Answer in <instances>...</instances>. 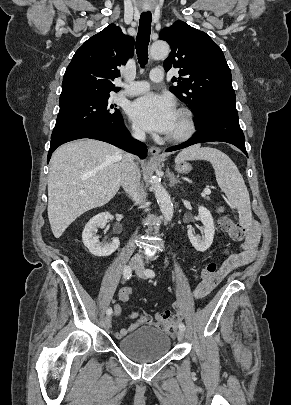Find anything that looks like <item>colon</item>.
<instances>
[{
  "instance_id": "colon-1",
  "label": "colon",
  "mask_w": 291,
  "mask_h": 405,
  "mask_svg": "<svg viewBox=\"0 0 291 405\" xmlns=\"http://www.w3.org/2000/svg\"><path fill=\"white\" fill-rule=\"evenodd\" d=\"M221 214L220 224L222 229L227 233V235L235 241H243L246 238V229L241 224L235 222L230 216L224 213V209L219 210ZM218 272V267L215 263H209L204 269L199 273V278L201 281L213 280ZM131 295V290L129 288H123L120 291V299L122 301H127Z\"/></svg>"
}]
</instances>
